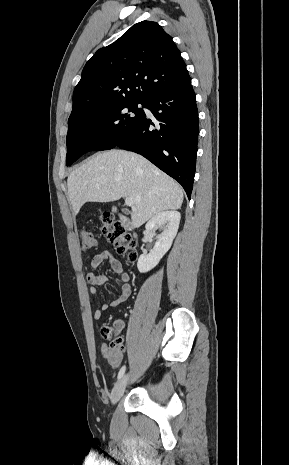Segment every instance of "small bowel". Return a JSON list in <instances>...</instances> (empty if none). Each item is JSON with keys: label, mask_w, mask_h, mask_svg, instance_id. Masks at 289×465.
<instances>
[{"label": "small bowel", "mask_w": 289, "mask_h": 465, "mask_svg": "<svg viewBox=\"0 0 289 465\" xmlns=\"http://www.w3.org/2000/svg\"><path fill=\"white\" fill-rule=\"evenodd\" d=\"M105 261H109L113 271L120 274V281L122 285L117 298L109 303H102L94 312L95 320L101 319L103 311L114 309L119 304L125 302L131 293V285L129 283L130 274L124 270L122 263L117 260L108 250L100 251L90 259L91 270L86 276L87 282L89 283L90 293L96 296L98 294V287L107 281V276L104 272H96V269ZM123 326L124 324L122 321H117L115 323L116 332H120L123 329ZM101 351L103 357L107 360L111 367L117 368L121 364L123 359L121 352L115 355L111 347L106 343L102 344Z\"/></svg>", "instance_id": "obj_1"}]
</instances>
